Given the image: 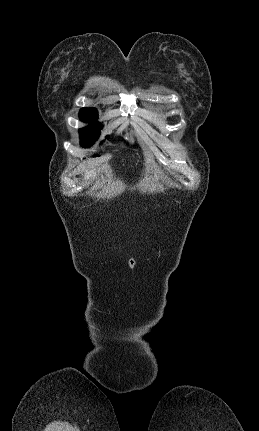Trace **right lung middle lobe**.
<instances>
[{
  "instance_id": "dd1d6c3e",
  "label": "right lung middle lobe",
  "mask_w": 259,
  "mask_h": 431,
  "mask_svg": "<svg viewBox=\"0 0 259 431\" xmlns=\"http://www.w3.org/2000/svg\"><path fill=\"white\" fill-rule=\"evenodd\" d=\"M80 119L84 122H93L98 118L97 111L93 108H83L80 110ZM102 125L97 123L94 126H87L79 130L81 145L84 147L91 146L99 137ZM98 156V155H95Z\"/></svg>"
}]
</instances>
